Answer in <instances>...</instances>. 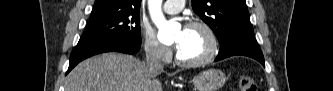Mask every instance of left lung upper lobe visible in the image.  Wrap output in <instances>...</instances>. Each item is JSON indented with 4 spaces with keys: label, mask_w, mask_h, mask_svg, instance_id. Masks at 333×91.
I'll return each instance as SVG.
<instances>
[{
    "label": "left lung upper lobe",
    "mask_w": 333,
    "mask_h": 91,
    "mask_svg": "<svg viewBox=\"0 0 333 91\" xmlns=\"http://www.w3.org/2000/svg\"><path fill=\"white\" fill-rule=\"evenodd\" d=\"M192 8L220 43L236 32L253 30L245 0H192Z\"/></svg>",
    "instance_id": "1"
}]
</instances>
